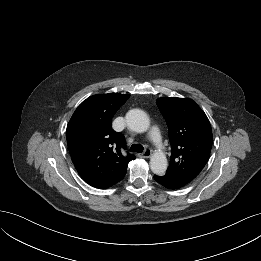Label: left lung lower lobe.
<instances>
[{
	"instance_id": "0a47b994",
	"label": "left lung lower lobe",
	"mask_w": 261,
	"mask_h": 261,
	"mask_svg": "<svg viewBox=\"0 0 261 261\" xmlns=\"http://www.w3.org/2000/svg\"><path fill=\"white\" fill-rule=\"evenodd\" d=\"M154 179L156 182L168 189H179L186 185L184 182L166 174L163 176L154 175Z\"/></svg>"
}]
</instances>
